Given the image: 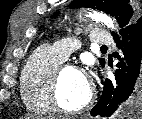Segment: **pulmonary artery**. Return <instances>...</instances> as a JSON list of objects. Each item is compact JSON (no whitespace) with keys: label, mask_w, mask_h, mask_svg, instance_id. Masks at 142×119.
<instances>
[{"label":"pulmonary artery","mask_w":142,"mask_h":119,"mask_svg":"<svg viewBox=\"0 0 142 119\" xmlns=\"http://www.w3.org/2000/svg\"><path fill=\"white\" fill-rule=\"evenodd\" d=\"M90 40L92 44L95 45H113V37L105 30L93 31L90 35ZM55 52L63 59H67L73 52H75L79 43L76 39H63L51 46Z\"/></svg>","instance_id":"pulmonary-artery-1"}]
</instances>
